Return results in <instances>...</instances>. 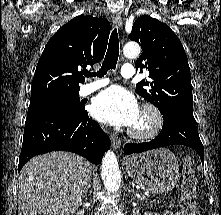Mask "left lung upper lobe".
I'll return each instance as SVG.
<instances>
[{
	"mask_svg": "<svg viewBox=\"0 0 221 215\" xmlns=\"http://www.w3.org/2000/svg\"><path fill=\"white\" fill-rule=\"evenodd\" d=\"M130 40L141 44L142 55L136 69L149 71L150 81L142 80L136 93L155 105L163 118L193 115L190 68L185 50L168 25L143 15L133 24Z\"/></svg>",
	"mask_w": 221,
	"mask_h": 215,
	"instance_id": "left-lung-upper-lobe-1",
	"label": "left lung upper lobe"
}]
</instances>
